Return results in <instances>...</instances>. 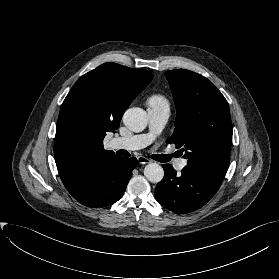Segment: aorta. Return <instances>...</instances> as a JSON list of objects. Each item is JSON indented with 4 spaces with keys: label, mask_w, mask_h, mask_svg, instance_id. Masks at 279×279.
I'll use <instances>...</instances> for the list:
<instances>
[{
    "label": "aorta",
    "mask_w": 279,
    "mask_h": 279,
    "mask_svg": "<svg viewBox=\"0 0 279 279\" xmlns=\"http://www.w3.org/2000/svg\"><path fill=\"white\" fill-rule=\"evenodd\" d=\"M147 113L138 107L127 109L123 115L124 125L133 132H141L147 126ZM144 176L152 183L160 182L164 177L162 166L157 163H149L144 169Z\"/></svg>",
    "instance_id": "obj_1"
}]
</instances>
